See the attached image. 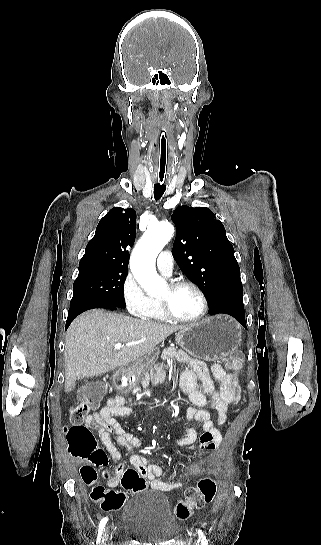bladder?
Instances as JSON below:
<instances>
[{
    "label": "bladder",
    "instance_id": "obj_1",
    "mask_svg": "<svg viewBox=\"0 0 321 545\" xmlns=\"http://www.w3.org/2000/svg\"><path fill=\"white\" fill-rule=\"evenodd\" d=\"M122 525L136 540L152 545L171 540L177 532L169 499L155 490L140 491L128 501Z\"/></svg>",
    "mask_w": 321,
    "mask_h": 545
}]
</instances>
